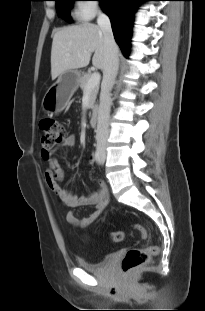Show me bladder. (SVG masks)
<instances>
[{"label": "bladder", "mask_w": 205, "mask_h": 311, "mask_svg": "<svg viewBox=\"0 0 205 311\" xmlns=\"http://www.w3.org/2000/svg\"><path fill=\"white\" fill-rule=\"evenodd\" d=\"M114 259V254L106 255L100 262H89L84 257L77 258V264L80 268L91 272H103L106 266Z\"/></svg>", "instance_id": "obj_1"}]
</instances>
